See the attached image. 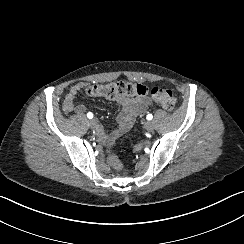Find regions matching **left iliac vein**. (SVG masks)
<instances>
[{
  "mask_svg": "<svg viewBox=\"0 0 244 244\" xmlns=\"http://www.w3.org/2000/svg\"><path fill=\"white\" fill-rule=\"evenodd\" d=\"M143 127L149 133H153L155 129L154 124L151 121L145 122Z\"/></svg>",
  "mask_w": 244,
  "mask_h": 244,
  "instance_id": "obj_1",
  "label": "left iliac vein"
}]
</instances>
